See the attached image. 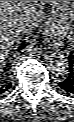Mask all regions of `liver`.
<instances>
[{
	"instance_id": "1",
	"label": "liver",
	"mask_w": 74,
	"mask_h": 122,
	"mask_svg": "<svg viewBox=\"0 0 74 122\" xmlns=\"http://www.w3.org/2000/svg\"><path fill=\"white\" fill-rule=\"evenodd\" d=\"M55 1H0V62L9 57L21 33L30 34L44 19L43 5ZM23 24L25 29L19 30Z\"/></svg>"
}]
</instances>
